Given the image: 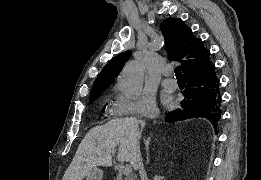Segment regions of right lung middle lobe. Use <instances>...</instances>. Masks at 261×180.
Masks as SVG:
<instances>
[{
  "label": "right lung middle lobe",
  "instance_id": "dd1d6c3e",
  "mask_svg": "<svg viewBox=\"0 0 261 180\" xmlns=\"http://www.w3.org/2000/svg\"><path fill=\"white\" fill-rule=\"evenodd\" d=\"M99 96H96V97H91L90 100H89V103H92L93 101H95Z\"/></svg>",
  "mask_w": 261,
  "mask_h": 180
}]
</instances>
